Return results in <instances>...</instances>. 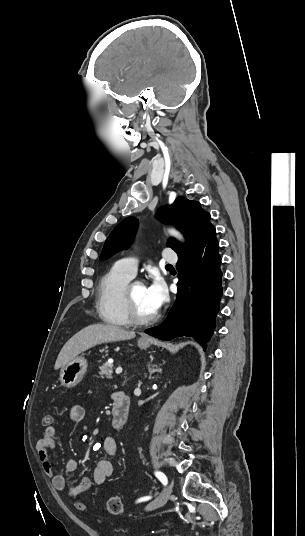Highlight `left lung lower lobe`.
Here are the masks:
<instances>
[{
  "mask_svg": "<svg viewBox=\"0 0 305 536\" xmlns=\"http://www.w3.org/2000/svg\"><path fill=\"white\" fill-rule=\"evenodd\" d=\"M216 230H208L188 252L178 256L176 302L168 317L145 332L161 340L193 337L206 349L222 296L221 258Z\"/></svg>",
  "mask_w": 305,
  "mask_h": 536,
  "instance_id": "0a47b994",
  "label": "left lung lower lobe"
}]
</instances>
